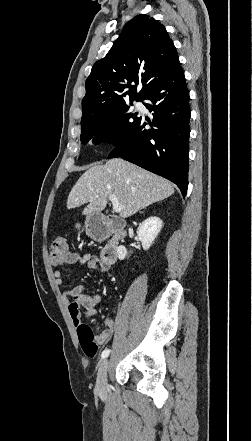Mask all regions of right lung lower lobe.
Here are the masks:
<instances>
[{"mask_svg":"<svg viewBox=\"0 0 252 441\" xmlns=\"http://www.w3.org/2000/svg\"><path fill=\"white\" fill-rule=\"evenodd\" d=\"M143 99L153 111V128L138 120L129 135L109 154L121 157L146 170L163 176L180 188L185 197L188 187L189 153V91L179 60L156 82ZM142 99V100H143Z\"/></svg>","mask_w":252,"mask_h":441,"instance_id":"right-lung-lower-lobe-1","label":"right lung lower lobe"}]
</instances>
